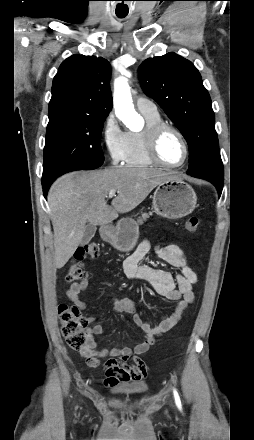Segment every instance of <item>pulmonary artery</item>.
I'll return each instance as SVG.
<instances>
[{"label": "pulmonary artery", "instance_id": "e3ab8cb5", "mask_svg": "<svg viewBox=\"0 0 254 440\" xmlns=\"http://www.w3.org/2000/svg\"><path fill=\"white\" fill-rule=\"evenodd\" d=\"M136 107L141 113H145V114L158 113L157 106L155 105V103L144 97H138L136 99Z\"/></svg>", "mask_w": 254, "mask_h": 440}]
</instances>
